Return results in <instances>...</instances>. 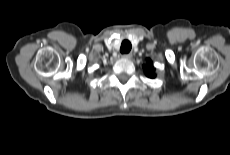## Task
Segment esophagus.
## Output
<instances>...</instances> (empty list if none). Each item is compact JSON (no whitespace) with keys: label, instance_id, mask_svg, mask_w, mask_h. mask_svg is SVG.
Instances as JSON below:
<instances>
[{"label":"esophagus","instance_id":"esophagus-1","mask_svg":"<svg viewBox=\"0 0 230 155\" xmlns=\"http://www.w3.org/2000/svg\"><path fill=\"white\" fill-rule=\"evenodd\" d=\"M124 59H130L132 57V54L131 53H126V54H123L122 56Z\"/></svg>","mask_w":230,"mask_h":155}]
</instances>
